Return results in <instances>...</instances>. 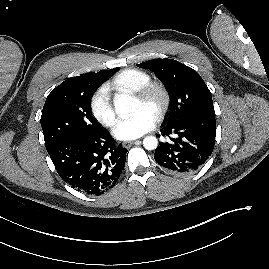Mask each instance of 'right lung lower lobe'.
<instances>
[{
	"mask_svg": "<svg viewBox=\"0 0 269 269\" xmlns=\"http://www.w3.org/2000/svg\"><path fill=\"white\" fill-rule=\"evenodd\" d=\"M59 176L88 195L112 188L125 166L127 150L102 129L86 137H74L48 152Z\"/></svg>",
	"mask_w": 269,
	"mask_h": 269,
	"instance_id": "obj_1",
	"label": "right lung lower lobe"
}]
</instances>
